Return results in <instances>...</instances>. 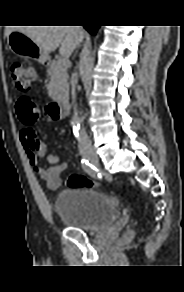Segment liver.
Listing matches in <instances>:
<instances>
[{
  "label": "liver",
  "mask_w": 184,
  "mask_h": 292,
  "mask_svg": "<svg viewBox=\"0 0 184 292\" xmlns=\"http://www.w3.org/2000/svg\"><path fill=\"white\" fill-rule=\"evenodd\" d=\"M78 27L81 26H10L5 35L13 31L21 32L47 53L60 46V55L68 58L83 38V30Z\"/></svg>",
  "instance_id": "1"
}]
</instances>
